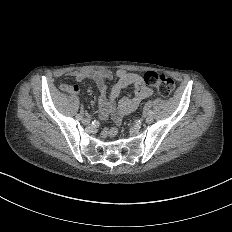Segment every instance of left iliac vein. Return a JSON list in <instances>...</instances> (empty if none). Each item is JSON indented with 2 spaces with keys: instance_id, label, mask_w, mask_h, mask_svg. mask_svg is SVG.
<instances>
[{
  "instance_id": "left-iliac-vein-1",
  "label": "left iliac vein",
  "mask_w": 232,
  "mask_h": 232,
  "mask_svg": "<svg viewBox=\"0 0 232 232\" xmlns=\"http://www.w3.org/2000/svg\"><path fill=\"white\" fill-rule=\"evenodd\" d=\"M145 122H146L147 124H153V123H154V118H153V117H147V118L145 119Z\"/></svg>"
}]
</instances>
